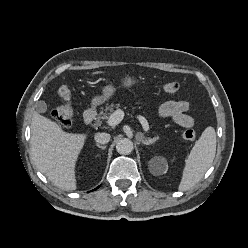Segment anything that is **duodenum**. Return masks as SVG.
Here are the masks:
<instances>
[{"label":"duodenum","instance_id":"1","mask_svg":"<svg viewBox=\"0 0 248 248\" xmlns=\"http://www.w3.org/2000/svg\"><path fill=\"white\" fill-rule=\"evenodd\" d=\"M97 119V112L95 108H89L85 111L83 116V122L85 125H90Z\"/></svg>","mask_w":248,"mask_h":248}]
</instances>
